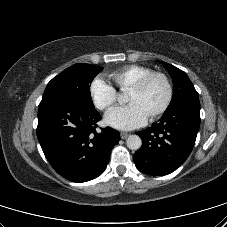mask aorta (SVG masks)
Listing matches in <instances>:
<instances>
[{"label":"aorta","mask_w":227,"mask_h":227,"mask_svg":"<svg viewBox=\"0 0 227 227\" xmlns=\"http://www.w3.org/2000/svg\"><path fill=\"white\" fill-rule=\"evenodd\" d=\"M126 145L131 150H138L142 145V140L138 135H130L126 140Z\"/></svg>","instance_id":"aorta-1"}]
</instances>
